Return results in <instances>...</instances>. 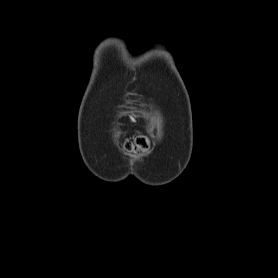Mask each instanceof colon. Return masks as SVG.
<instances>
[{
	"instance_id": "colon-1",
	"label": "colon",
	"mask_w": 278,
	"mask_h": 278,
	"mask_svg": "<svg viewBox=\"0 0 278 278\" xmlns=\"http://www.w3.org/2000/svg\"><path fill=\"white\" fill-rule=\"evenodd\" d=\"M148 146V140L145 136H137L134 140L128 141L125 148L130 153H143Z\"/></svg>"
}]
</instances>
